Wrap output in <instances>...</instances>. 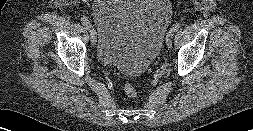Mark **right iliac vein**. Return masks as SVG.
Returning a JSON list of instances; mask_svg holds the SVG:
<instances>
[{"label": "right iliac vein", "instance_id": "1", "mask_svg": "<svg viewBox=\"0 0 253 131\" xmlns=\"http://www.w3.org/2000/svg\"><path fill=\"white\" fill-rule=\"evenodd\" d=\"M88 30H89V33H90V39H91V43L93 44V45H95L96 44V31H95V29H94V27L92 26V25H90L89 27H88Z\"/></svg>", "mask_w": 253, "mask_h": 131}]
</instances>
